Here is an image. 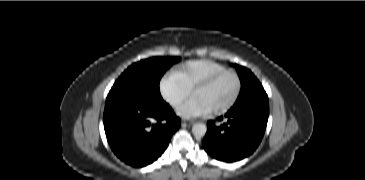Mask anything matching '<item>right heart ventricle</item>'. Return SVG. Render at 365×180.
<instances>
[{"instance_id":"right-heart-ventricle-1","label":"right heart ventricle","mask_w":365,"mask_h":180,"mask_svg":"<svg viewBox=\"0 0 365 180\" xmlns=\"http://www.w3.org/2000/svg\"><path fill=\"white\" fill-rule=\"evenodd\" d=\"M225 70L226 67L221 64L197 62L189 65L186 70L180 72L179 76L183 85L190 91L195 85Z\"/></svg>"}]
</instances>
